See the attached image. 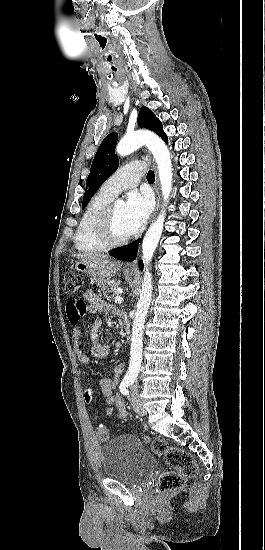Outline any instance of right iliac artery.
<instances>
[{"label":"right iliac artery","instance_id":"1","mask_svg":"<svg viewBox=\"0 0 265 550\" xmlns=\"http://www.w3.org/2000/svg\"><path fill=\"white\" fill-rule=\"evenodd\" d=\"M127 381H129V379H128V378H125V379L123 380V382H127Z\"/></svg>","mask_w":265,"mask_h":550}]
</instances>
